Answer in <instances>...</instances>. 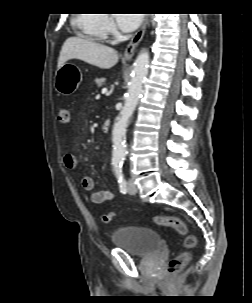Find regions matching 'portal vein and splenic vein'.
<instances>
[{"label": "portal vein and splenic vein", "mask_w": 252, "mask_h": 303, "mask_svg": "<svg viewBox=\"0 0 252 303\" xmlns=\"http://www.w3.org/2000/svg\"><path fill=\"white\" fill-rule=\"evenodd\" d=\"M107 92V88H103L102 89V93L104 94V93H106Z\"/></svg>", "instance_id": "1"}]
</instances>
